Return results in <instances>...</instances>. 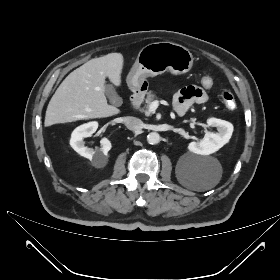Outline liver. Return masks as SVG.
Masks as SVG:
<instances>
[{
  "mask_svg": "<svg viewBox=\"0 0 280 280\" xmlns=\"http://www.w3.org/2000/svg\"><path fill=\"white\" fill-rule=\"evenodd\" d=\"M123 62L121 53H110L89 60L71 72L49 101L44 125L119 114L118 108L107 103L105 79L120 86Z\"/></svg>",
  "mask_w": 280,
  "mask_h": 280,
  "instance_id": "1",
  "label": "liver"
}]
</instances>
